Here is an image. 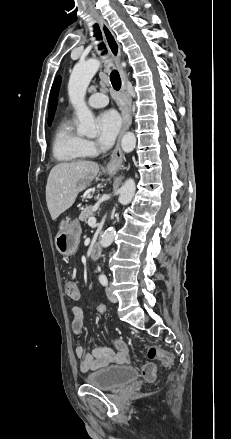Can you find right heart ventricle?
<instances>
[{
    "instance_id": "e07e8e85",
    "label": "right heart ventricle",
    "mask_w": 231,
    "mask_h": 439,
    "mask_svg": "<svg viewBox=\"0 0 231 439\" xmlns=\"http://www.w3.org/2000/svg\"><path fill=\"white\" fill-rule=\"evenodd\" d=\"M53 155L60 162H76L87 156L84 139L75 131L68 119L63 120L56 130Z\"/></svg>"
}]
</instances>
